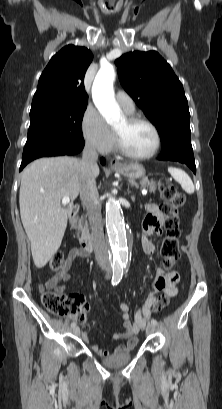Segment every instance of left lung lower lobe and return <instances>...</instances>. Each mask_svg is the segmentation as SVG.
<instances>
[{
	"mask_svg": "<svg viewBox=\"0 0 222 409\" xmlns=\"http://www.w3.org/2000/svg\"><path fill=\"white\" fill-rule=\"evenodd\" d=\"M159 160L178 161L186 164L194 173H196L195 160L191 145H175L162 149Z\"/></svg>",
	"mask_w": 222,
	"mask_h": 409,
	"instance_id": "0a47b994",
	"label": "left lung lower lobe"
}]
</instances>
